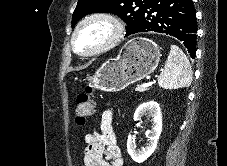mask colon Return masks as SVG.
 I'll return each mask as SVG.
<instances>
[{
    "mask_svg": "<svg viewBox=\"0 0 227 166\" xmlns=\"http://www.w3.org/2000/svg\"><path fill=\"white\" fill-rule=\"evenodd\" d=\"M95 103L92 99V88L86 87V89L79 93L75 100V115L76 122L83 124L85 120L94 113Z\"/></svg>",
    "mask_w": 227,
    "mask_h": 166,
    "instance_id": "1",
    "label": "colon"
}]
</instances>
